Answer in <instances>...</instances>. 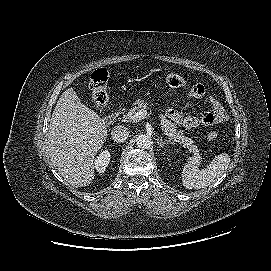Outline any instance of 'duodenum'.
<instances>
[{"mask_svg": "<svg viewBox=\"0 0 271 271\" xmlns=\"http://www.w3.org/2000/svg\"><path fill=\"white\" fill-rule=\"evenodd\" d=\"M120 115V111L116 110L110 114H108L104 119H103V125L105 127L110 126L113 122H115Z\"/></svg>", "mask_w": 271, "mask_h": 271, "instance_id": "obj_1", "label": "duodenum"}]
</instances>
